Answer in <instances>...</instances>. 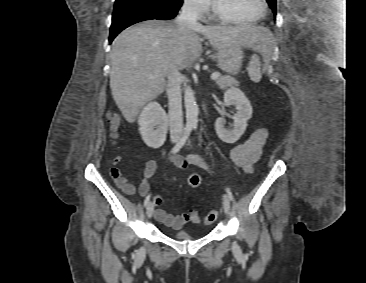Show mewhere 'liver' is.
<instances>
[{
  "label": "liver",
  "instance_id": "6515ba94",
  "mask_svg": "<svg viewBox=\"0 0 366 283\" xmlns=\"http://www.w3.org/2000/svg\"><path fill=\"white\" fill-rule=\"evenodd\" d=\"M199 33L213 48L237 43L264 52L271 32L250 24L197 26L179 31L175 21L148 20L122 31L111 49L110 88L124 118L134 122L139 110L165 89L174 68L191 67L202 54Z\"/></svg>",
  "mask_w": 366,
  "mask_h": 283
}]
</instances>
